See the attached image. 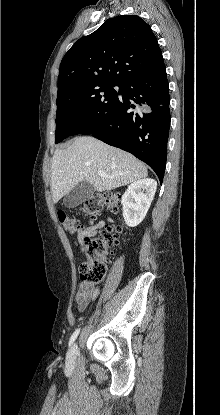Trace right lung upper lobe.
I'll use <instances>...</instances> for the list:
<instances>
[{
  "instance_id": "right-lung-upper-lobe-1",
  "label": "right lung upper lobe",
  "mask_w": 220,
  "mask_h": 415,
  "mask_svg": "<svg viewBox=\"0 0 220 415\" xmlns=\"http://www.w3.org/2000/svg\"><path fill=\"white\" fill-rule=\"evenodd\" d=\"M163 64L157 39L146 22L136 15L110 18L63 57L57 95L78 84H122Z\"/></svg>"
}]
</instances>
